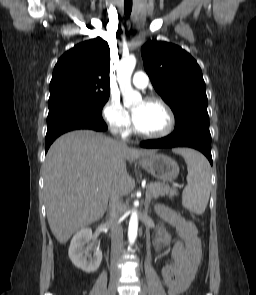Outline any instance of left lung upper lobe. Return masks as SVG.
<instances>
[{"mask_svg":"<svg viewBox=\"0 0 256 295\" xmlns=\"http://www.w3.org/2000/svg\"><path fill=\"white\" fill-rule=\"evenodd\" d=\"M141 53L155 90L174 113V131L186 126L209 129L206 86L195 59L181 47L161 41L147 42Z\"/></svg>","mask_w":256,"mask_h":295,"instance_id":"left-lung-upper-lobe-1","label":"left lung upper lobe"}]
</instances>
